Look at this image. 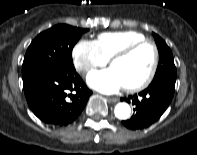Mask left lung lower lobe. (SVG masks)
Here are the masks:
<instances>
[{
    "instance_id": "left-lung-lower-lobe-1",
    "label": "left lung lower lobe",
    "mask_w": 197,
    "mask_h": 155,
    "mask_svg": "<svg viewBox=\"0 0 197 155\" xmlns=\"http://www.w3.org/2000/svg\"><path fill=\"white\" fill-rule=\"evenodd\" d=\"M175 90V84L167 82L151 83L148 88L121 101L132 102L135 114L131 119L122 121L129 129H142L157 121L169 106Z\"/></svg>"
}]
</instances>
